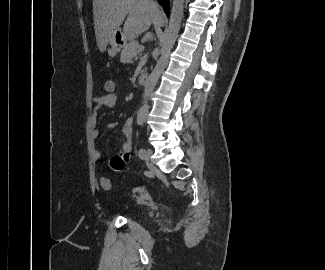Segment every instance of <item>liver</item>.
I'll use <instances>...</instances> for the list:
<instances>
[{
    "label": "liver",
    "mask_w": 325,
    "mask_h": 270,
    "mask_svg": "<svg viewBox=\"0 0 325 270\" xmlns=\"http://www.w3.org/2000/svg\"><path fill=\"white\" fill-rule=\"evenodd\" d=\"M93 15L97 45L102 53L126 16L123 33L127 40L135 39L152 24H163V13L151 0H93Z\"/></svg>",
    "instance_id": "obj_1"
}]
</instances>
